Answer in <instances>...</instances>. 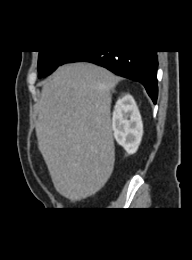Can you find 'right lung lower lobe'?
<instances>
[{
  "instance_id": "right-lung-lower-lobe-1",
  "label": "right lung lower lobe",
  "mask_w": 192,
  "mask_h": 260,
  "mask_svg": "<svg viewBox=\"0 0 192 260\" xmlns=\"http://www.w3.org/2000/svg\"><path fill=\"white\" fill-rule=\"evenodd\" d=\"M91 62L113 73L142 83L154 104L157 101V51H80L70 52L62 62Z\"/></svg>"
}]
</instances>
